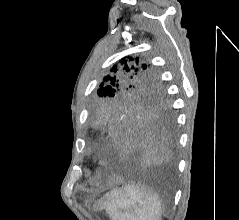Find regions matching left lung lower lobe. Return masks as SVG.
Segmentation results:
<instances>
[{
    "instance_id": "left-lung-lower-lobe-1",
    "label": "left lung lower lobe",
    "mask_w": 239,
    "mask_h": 220,
    "mask_svg": "<svg viewBox=\"0 0 239 220\" xmlns=\"http://www.w3.org/2000/svg\"><path fill=\"white\" fill-rule=\"evenodd\" d=\"M95 127L102 138L107 165L172 161L176 139L169 112L112 107L99 113Z\"/></svg>"
}]
</instances>
